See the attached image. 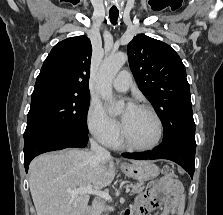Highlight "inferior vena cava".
<instances>
[{"mask_svg": "<svg viewBox=\"0 0 223 215\" xmlns=\"http://www.w3.org/2000/svg\"><path fill=\"white\" fill-rule=\"evenodd\" d=\"M91 143V151H95V155L97 157H110V151H107L105 147H101L97 141H94V139H90ZM103 203H101L100 199H93L92 201V209L90 211V215H101L103 211Z\"/></svg>", "mask_w": 223, "mask_h": 215, "instance_id": "1", "label": "inferior vena cava"}]
</instances>
